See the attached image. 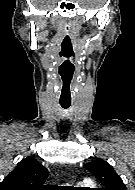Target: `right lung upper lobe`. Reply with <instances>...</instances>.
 <instances>
[{"label": "right lung upper lobe", "mask_w": 135, "mask_h": 190, "mask_svg": "<svg viewBox=\"0 0 135 190\" xmlns=\"http://www.w3.org/2000/svg\"><path fill=\"white\" fill-rule=\"evenodd\" d=\"M47 176L45 167L32 157H27L0 182V190H48L51 187L44 185Z\"/></svg>", "instance_id": "cb5924a9"}]
</instances>
